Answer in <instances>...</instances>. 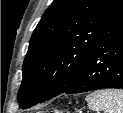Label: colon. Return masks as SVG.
<instances>
[{"instance_id": "1", "label": "colon", "mask_w": 123, "mask_h": 113, "mask_svg": "<svg viewBox=\"0 0 123 113\" xmlns=\"http://www.w3.org/2000/svg\"><path fill=\"white\" fill-rule=\"evenodd\" d=\"M52 112L53 113H62V110L61 109H54Z\"/></svg>"}]
</instances>
